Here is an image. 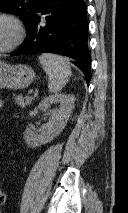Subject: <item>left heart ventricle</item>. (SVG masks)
<instances>
[{
    "instance_id": "1",
    "label": "left heart ventricle",
    "mask_w": 128,
    "mask_h": 213,
    "mask_svg": "<svg viewBox=\"0 0 128 213\" xmlns=\"http://www.w3.org/2000/svg\"><path fill=\"white\" fill-rule=\"evenodd\" d=\"M14 37L15 30L13 25L5 19H0V48L9 45Z\"/></svg>"
}]
</instances>
